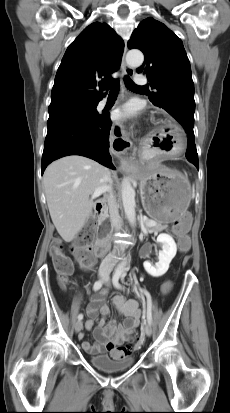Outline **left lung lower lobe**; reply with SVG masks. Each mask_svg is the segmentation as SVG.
<instances>
[{
  "label": "left lung lower lobe",
  "mask_w": 230,
  "mask_h": 413,
  "mask_svg": "<svg viewBox=\"0 0 230 413\" xmlns=\"http://www.w3.org/2000/svg\"><path fill=\"white\" fill-rule=\"evenodd\" d=\"M186 133H187V138H188L186 158L189 162L193 163L197 169H199L198 154H197L196 145L194 142V132L192 129H188Z\"/></svg>",
  "instance_id": "1"
}]
</instances>
